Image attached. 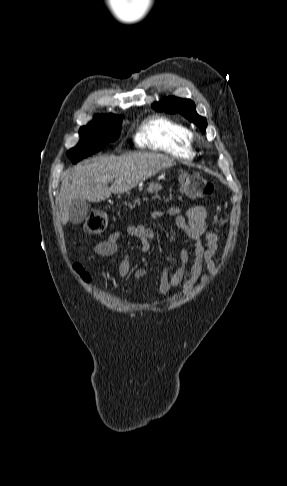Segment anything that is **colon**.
Segmentation results:
<instances>
[{
  "instance_id": "1",
  "label": "colon",
  "mask_w": 287,
  "mask_h": 486,
  "mask_svg": "<svg viewBox=\"0 0 287 486\" xmlns=\"http://www.w3.org/2000/svg\"><path fill=\"white\" fill-rule=\"evenodd\" d=\"M181 187L185 195L191 198H209L214 194V186L207 179L195 172H186L181 176ZM108 225V218L104 211H93L84 223V230L90 234L102 233ZM85 279L87 275L83 273L80 266H77Z\"/></svg>"
}]
</instances>
